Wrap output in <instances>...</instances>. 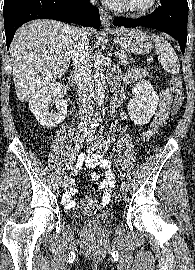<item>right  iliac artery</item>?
Segmentation results:
<instances>
[{
    "label": "right iliac artery",
    "instance_id": "82829eb1",
    "mask_svg": "<svg viewBox=\"0 0 195 270\" xmlns=\"http://www.w3.org/2000/svg\"><path fill=\"white\" fill-rule=\"evenodd\" d=\"M82 148V145L78 146L75 153L71 156L69 163L67 165V170L73 169V163L75 161V156L77 155L78 151Z\"/></svg>",
    "mask_w": 195,
    "mask_h": 270
}]
</instances>
